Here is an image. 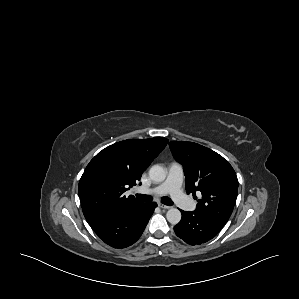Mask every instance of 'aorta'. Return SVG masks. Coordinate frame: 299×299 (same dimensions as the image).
<instances>
[{
  "instance_id": "762f6f07",
  "label": "aorta",
  "mask_w": 299,
  "mask_h": 299,
  "mask_svg": "<svg viewBox=\"0 0 299 299\" xmlns=\"http://www.w3.org/2000/svg\"><path fill=\"white\" fill-rule=\"evenodd\" d=\"M149 177L154 182H163L166 179V171L160 165H153L149 170ZM166 218L171 224H178L181 220V212L177 208H171L166 213Z\"/></svg>"
}]
</instances>
